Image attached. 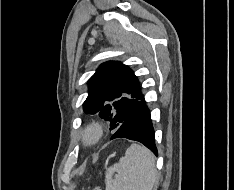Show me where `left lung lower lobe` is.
<instances>
[{
  "label": "left lung lower lobe",
  "instance_id": "0a47b994",
  "mask_svg": "<svg viewBox=\"0 0 234 190\" xmlns=\"http://www.w3.org/2000/svg\"><path fill=\"white\" fill-rule=\"evenodd\" d=\"M127 138L139 141L157 155L155 146L154 129L150 111L147 108L144 96L138 101L133 110L110 138Z\"/></svg>",
  "mask_w": 234,
  "mask_h": 190
}]
</instances>
